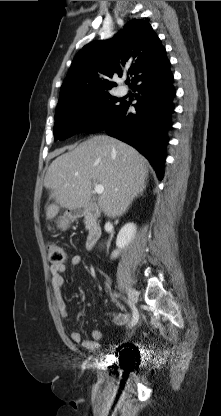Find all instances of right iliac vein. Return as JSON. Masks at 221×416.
<instances>
[{"instance_id": "right-iliac-vein-1", "label": "right iliac vein", "mask_w": 221, "mask_h": 416, "mask_svg": "<svg viewBox=\"0 0 221 416\" xmlns=\"http://www.w3.org/2000/svg\"><path fill=\"white\" fill-rule=\"evenodd\" d=\"M128 297L132 305H135L138 301V293L135 289H129Z\"/></svg>"}]
</instances>
